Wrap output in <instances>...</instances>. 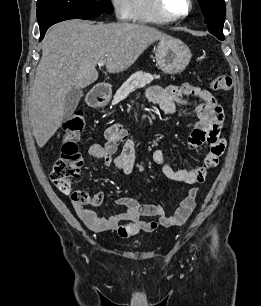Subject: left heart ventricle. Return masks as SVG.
<instances>
[{
    "mask_svg": "<svg viewBox=\"0 0 261 306\" xmlns=\"http://www.w3.org/2000/svg\"><path fill=\"white\" fill-rule=\"evenodd\" d=\"M167 11L171 15H182L188 9L187 0H163Z\"/></svg>",
    "mask_w": 261,
    "mask_h": 306,
    "instance_id": "left-heart-ventricle-1",
    "label": "left heart ventricle"
}]
</instances>
